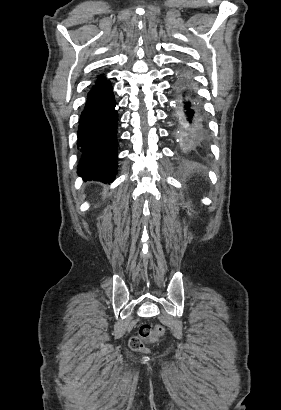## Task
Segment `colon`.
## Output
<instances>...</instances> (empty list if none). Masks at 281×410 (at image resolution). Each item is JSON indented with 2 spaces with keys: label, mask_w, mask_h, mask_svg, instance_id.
I'll list each match as a JSON object with an SVG mask.
<instances>
[{
  "label": "colon",
  "mask_w": 281,
  "mask_h": 410,
  "mask_svg": "<svg viewBox=\"0 0 281 410\" xmlns=\"http://www.w3.org/2000/svg\"><path fill=\"white\" fill-rule=\"evenodd\" d=\"M164 332L165 328L160 324L154 326L143 324L138 333L130 338L129 347L134 352H143L146 350L147 341L163 336Z\"/></svg>",
  "instance_id": "5ec220e1"
}]
</instances>
